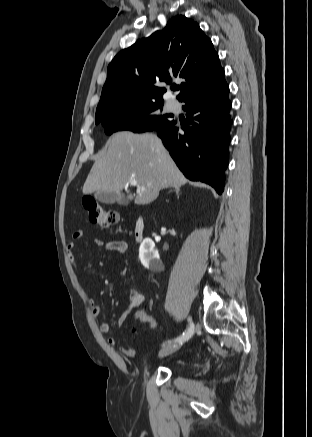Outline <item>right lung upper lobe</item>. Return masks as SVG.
I'll list each match as a JSON object with an SVG mask.
<instances>
[{
	"mask_svg": "<svg viewBox=\"0 0 312 437\" xmlns=\"http://www.w3.org/2000/svg\"><path fill=\"white\" fill-rule=\"evenodd\" d=\"M223 73L211 40L196 22L178 15L163 31L114 57L107 68L96 120L125 106L162 101L166 89L159 82L171 84L174 78H183L177 96L182 101Z\"/></svg>",
	"mask_w": 312,
	"mask_h": 437,
	"instance_id": "right-lung-upper-lobe-1",
	"label": "right lung upper lobe"
}]
</instances>
